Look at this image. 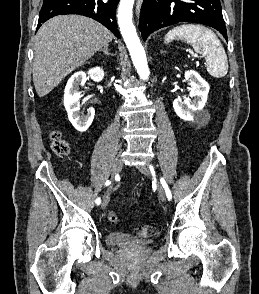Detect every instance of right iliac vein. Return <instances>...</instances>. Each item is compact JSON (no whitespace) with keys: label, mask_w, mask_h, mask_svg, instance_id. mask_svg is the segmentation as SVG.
<instances>
[{"label":"right iliac vein","mask_w":259,"mask_h":294,"mask_svg":"<svg viewBox=\"0 0 259 294\" xmlns=\"http://www.w3.org/2000/svg\"><path fill=\"white\" fill-rule=\"evenodd\" d=\"M122 168H123V162L120 160L117 161L113 166V171H112L113 176L119 174L121 172ZM109 200H110V189H108V191L103 196V200H102V204H101V207L103 209H105L107 207Z\"/></svg>","instance_id":"right-iliac-vein-1"}]
</instances>
